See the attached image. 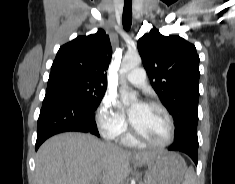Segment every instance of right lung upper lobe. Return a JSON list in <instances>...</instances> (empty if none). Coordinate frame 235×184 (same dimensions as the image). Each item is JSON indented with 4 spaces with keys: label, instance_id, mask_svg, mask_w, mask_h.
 <instances>
[{
    "label": "right lung upper lobe",
    "instance_id": "obj_1",
    "mask_svg": "<svg viewBox=\"0 0 235 184\" xmlns=\"http://www.w3.org/2000/svg\"><path fill=\"white\" fill-rule=\"evenodd\" d=\"M112 56L109 36L99 29L96 34L78 36L60 47L51 67L47 90L58 89L66 80L107 86Z\"/></svg>",
    "mask_w": 235,
    "mask_h": 184
}]
</instances>
